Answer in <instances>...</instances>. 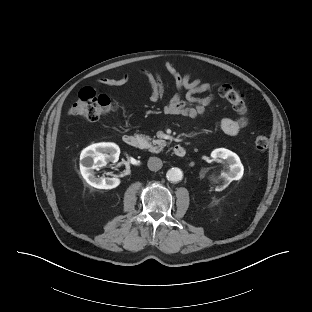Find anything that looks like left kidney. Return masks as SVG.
I'll use <instances>...</instances> for the list:
<instances>
[{"label": "left kidney", "instance_id": "left-kidney-1", "mask_svg": "<svg viewBox=\"0 0 312 312\" xmlns=\"http://www.w3.org/2000/svg\"><path fill=\"white\" fill-rule=\"evenodd\" d=\"M211 157L213 160L223 159L224 164L229 169L226 172H222L218 178L213 177L212 179L214 182L222 181L223 185L220 189L228 186L233 180H239L242 178L244 167L236 153L225 148H218L212 151Z\"/></svg>", "mask_w": 312, "mask_h": 312}]
</instances>
